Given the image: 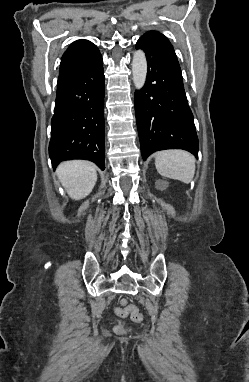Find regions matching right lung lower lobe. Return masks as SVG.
<instances>
[{
	"label": "right lung lower lobe",
	"mask_w": 249,
	"mask_h": 382,
	"mask_svg": "<svg viewBox=\"0 0 249 382\" xmlns=\"http://www.w3.org/2000/svg\"><path fill=\"white\" fill-rule=\"evenodd\" d=\"M49 156L59 162L88 159L105 169L104 71L99 53L90 65L57 86Z\"/></svg>",
	"instance_id": "obj_1"
}]
</instances>
